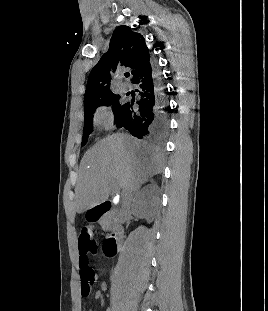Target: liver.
<instances>
[{"label":"liver","mask_w":268,"mask_h":311,"mask_svg":"<svg viewBox=\"0 0 268 311\" xmlns=\"http://www.w3.org/2000/svg\"><path fill=\"white\" fill-rule=\"evenodd\" d=\"M159 154L126 134H113L83 156L76 184L75 211L84 213L105 202L113 183L123 193L135 191L162 171Z\"/></svg>","instance_id":"liver-1"}]
</instances>
